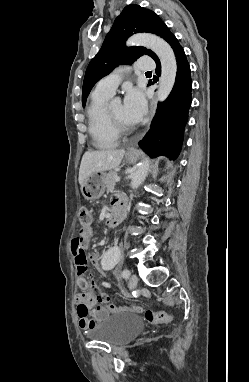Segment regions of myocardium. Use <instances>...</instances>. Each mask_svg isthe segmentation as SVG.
Listing matches in <instances>:
<instances>
[{
	"instance_id": "myocardium-1",
	"label": "myocardium",
	"mask_w": 249,
	"mask_h": 382,
	"mask_svg": "<svg viewBox=\"0 0 249 382\" xmlns=\"http://www.w3.org/2000/svg\"><path fill=\"white\" fill-rule=\"evenodd\" d=\"M106 116L108 119V122L112 128V130L117 134V135H123L126 133H129L133 131V128H129L118 122L116 119L113 118V116L110 113L109 108L106 107Z\"/></svg>"
}]
</instances>
